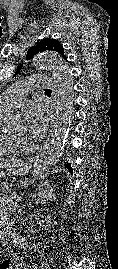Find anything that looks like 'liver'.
Masks as SVG:
<instances>
[{"label": "liver", "mask_w": 118, "mask_h": 269, "mask_svg": "<svg viewBox=\"0 0 118 269\" xmlns=\"http://www.w3.org/2000/svg\"><path fill=\"white\" fill-rule=\"evenodd\" d=\"M20 163H23V162L22 161H15V160L1 161L0 168H9L11 165L20 164Z\"/></svg>", "instance_id": "1"}]
</instances>
